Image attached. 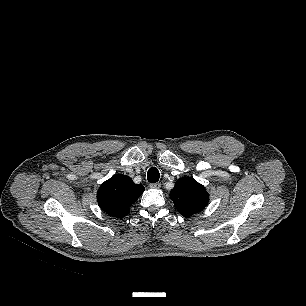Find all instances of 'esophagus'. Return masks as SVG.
Returning <instances> with one entry per match:
<instances>
[{
    "label": "esophagus",
    "instance_id": "obj_1",
    "mask_svg": "<svg viewBox=\"0 0 306 306\" xmlns=\"http://www.w3.org/2000/svg\"><path fill=\"white\" fill-rule=\"evenodd\" d=\"M149 186L152 189H159L161 187V184L160 183H151Z\"/></svg>",
    "mask_w": 306,
    "mask_h": 306
}]
</instances>
